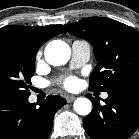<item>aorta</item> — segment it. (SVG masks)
<instances>
[{
	"mask_svg": "<svg viewBox=\"0 0 139 139\" xmlns=\"http://www.w3.org/2000/svg\"><path fill=\"white\" fill-rule=\"evenodd\" d=\"M46 61L53 66L64 65L68 62L71 51L67 43L61 40H53L47 44L44 51ZM77 114L86 116L92 110V103L88 98H77L73 104Z\"/></svg>",
	"mask_w": 139,
	"mask_h": 139,
	"instance_id": "762f6f07",
	"label": "aorta"
}]
</instances>
